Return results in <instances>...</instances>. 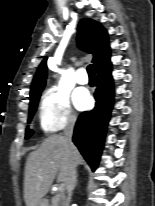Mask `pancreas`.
<instances>
[{"instance_id":"cf45deb5","label":"pancreas","mask_w":155,"mask_h":206,"mask_svg":"<svg viewBox=\"0 0 155 206\" xmlns=\"http://www.w3.org/2000/svg\"><path fill=\"white\" fill-rule=\"evenodd\" d=\"M50 206H64V197L62 194H57L51 199Z\"/></svg>"}]
</instances>
